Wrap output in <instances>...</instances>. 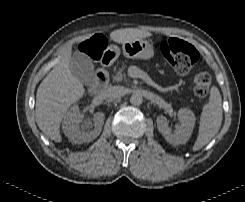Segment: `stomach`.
Instances as JSON below:
<instances>
[{"mask_svg":"<svg viewBox=\"0 0 245 202\" xmlns=\"http://www.w3.org/2000/svg\"><path fill=\"white\" fill-rule=\"evenodd\" d=\"M109 49L114 52L115 57L119 56L120 49L118 46L113 45L110 46ZM122 49L124 56L127 58L149 60L154 57L152 44L143 39H136L134 41L123 43Z\"/></svg>","mask_w":245,"mask_h":202,"instance_id":"0dacf381","label":"stomach"}]
</instances>
